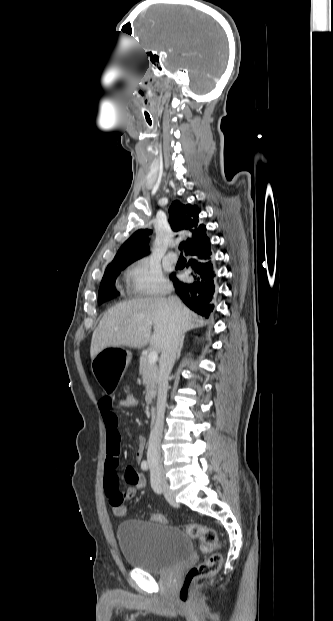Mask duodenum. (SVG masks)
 <instances>
[{"label":"duodenum","instance_id":"duodenum-1","mask_svg":"<svg viewBox=\"0 0 333 621\" xmlns=\"http://www.w3.org/2000/svg\"><path fill=\"white\" fill-rule=\"evenodd\" d=\"M157 414L155 410H151L150 412V426L153 427L156 422Z\"/></svg>","mask_w":333,"mask_h":621}]
</instances>
